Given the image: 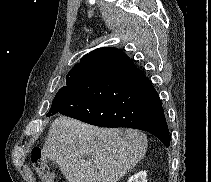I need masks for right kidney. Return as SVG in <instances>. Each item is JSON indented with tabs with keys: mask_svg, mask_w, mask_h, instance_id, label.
<instances>
[{
	"mask_svg": "<svg viewBox=\"0 0 211 182\" xmlns=\"http://www.w3.org/2000/svg\"><path fill=\"white\" fill-rule=\"evenodd\" d=\"M146 171H140L128 179V182H147Z\"/></svg>",
	"mask_w": 211,
	"mask_h": 182,
	"instance_id": "right-kidney-1",
	"label": "right kidney"
}]
</instances>
